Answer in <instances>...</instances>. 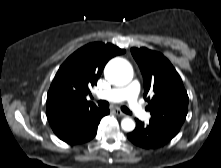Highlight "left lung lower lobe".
Returning <instances> with one entry per match:
<instances>
[{
  "label": "left lung lower lobe",
  "mask_w": 221,
  "mask_h": 168,
  "mask_svg": "<svg viewBox=\"0 0 221 168\" xmlns=\"http://www.w3.org/2000/svg\"><path fill=\"white\" fill-rule=\"evenodd\" d=\"M176 134L177 133L173 130L162 125L153 122L144 124L143 122L136 120L135 130L128 133L127 137L133 144L139 147L153 149L165 145L175 137Z\"/></svg>",
  "instance_id": "0a47b994"
}]
</instances>
